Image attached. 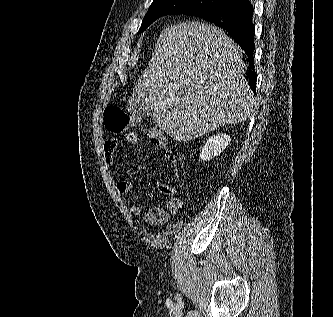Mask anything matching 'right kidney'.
<instances>
[{
  "instance_id": "1",
  "label": "right kidney",
  "mask_w": 333,
  "mask_h": 317,
  "mask_svg": "<svg viewBox=\"0 0 333 317\" xmlns=\"http://www.w3.org/2000/svg\"><path fill=\"white\" fill-rule=\"evenodd\" d=\"M231 138L227 134H216L206 141L199 158L203 161H209L213 157L220 155L230 143Z\"/></svg>"
}]
</instances>
